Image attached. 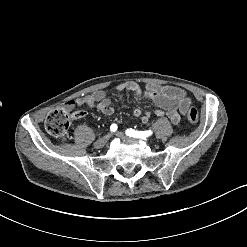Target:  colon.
<instances>
[{"label": "colon", "instance_id": "colon-1", "mask_svg": "<svg viewBox=\"0 0 247 247\" xmlns=\"http://www.w3.org/2000/svg\"><path fill=\"white\" fill-rule=\"evenodd\" d=\"M186 116L191 123H197L198 113L193 106H188L186 108ZM71 123L72 121L70 119L69 112L53 110L45 118L44 127L51 135L65 142L71 137L69 130Z\"/></svg>", "mask_w": 247, "mask_h": 247}]
</instances>
